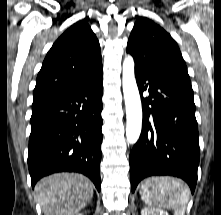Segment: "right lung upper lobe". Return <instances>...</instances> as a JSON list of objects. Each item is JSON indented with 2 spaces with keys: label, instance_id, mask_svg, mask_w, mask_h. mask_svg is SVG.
I'll list each match as a JSON object with an SVG mask.
<instances>
[{
  "label": "right lung upper lobe",
  "instance_id": "right-lung-upper-lobe-1",
  "mask_svg": "<svg viewBox=\"0 0 221 215\" xmlns=\"http://www.w3.org/2000/svg\"><path fill=\"white\" fill-rule=\"evenodd\" d=\"M102 74L99 42L86 20L68 28L47 53L33 91L35 106Z\"/></svg>",
  "mask_w": 221,
  "mask_h": 215
}]
</instances>
